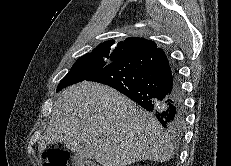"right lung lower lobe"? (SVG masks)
I'll return each instance as SVG.
<instances>
[{
	"instance_id": "obj_1",
	"label": "right lung lower lobe",
	"mask_w": 231,
	"mask_h": 166,
	"mask_svg": "<svg viewBox=\"0 0 231 166\" xmlns=\"http://www.w3.org/2000/svg\"><path fill=\"white\" fill-rule=\"evenodd\" d=\"M86 80L113 87L155 113L171 135L182 134L185 108L181 84L162 49L114 61Z\"/></svg>"
}]
</instances>
